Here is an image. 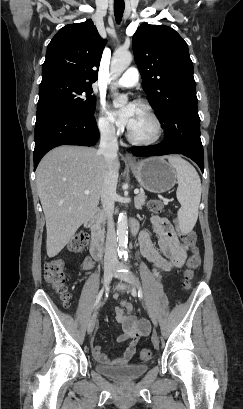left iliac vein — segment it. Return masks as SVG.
Masks as SVG:
<instances>
[{
    "mask_svg": "<svg viewBox=\"0 0 243 409\" xmlns=\"http://www.w3.org/2000/svg\"><path fill=\"white\" fill-rule=\"evenodd\" d=\"M114 275H115V277H117V278H119V279H121V280H123L125 282H128L129 284H131L133 286H136L139 289L140 293L143 295V291H142L141 287L139 286V282H138L137 278L134 276V274L132 272H130V271H127V272H118V271H116L114 273ZM143 300H144L145 307L147 309L148 315H149L152 323L155 326H157V318L155 316V313H154L150 303L148 302V300L146 298H143ZM154 343L156 344V341H154Z\"/></svg>",
    "mask_w": 243,
    "mask_h": 409,
    "instance_id": "4c4485c4",
    "label": "left iliac vein"
}]
</instances>
